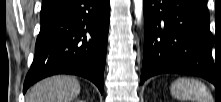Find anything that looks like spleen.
<instances>
[{
    "instance_id": "obj_1",
    "label": "spleen",
    "mask_w": 221,
    "mask_h": 102,
    "mask_svg": "<svg viewBox=\"0 0 221 102\" xmlns=\"http://www.w3.org/2000/svg\"><path fill=\"white\" fill-rule=\"evenodd\" d=\"M171 94L179 100H195V102H209L211 94L200 81L189 78L177 79L170 88Z\"/></svg>"
}]
</instances>
